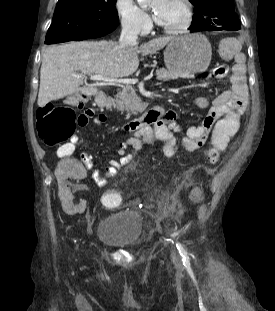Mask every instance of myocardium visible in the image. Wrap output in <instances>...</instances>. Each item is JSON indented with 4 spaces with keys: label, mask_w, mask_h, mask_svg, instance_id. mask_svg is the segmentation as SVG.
Wrapping results in <instances>:
<instances>
[{
    "label": "myocardium",
    "mask_w": 275,
    "mask_h": 311,
    "mask_svg": "<svg viewBox=\"0 0 275 311\" xmlns=\"http://www.w3.org/2000/svg\"><path fill=\"white\" fill-rule=\"evenodd\" d=\"M183 3L186 10V18L183 24L177 27H166L157 22V25L161 31L167 34H177L186 31L192 24L194 19V9L191 0H180Z\"/></svg>",
    "instance_id": "myocardium-1"
}]
</instances>
